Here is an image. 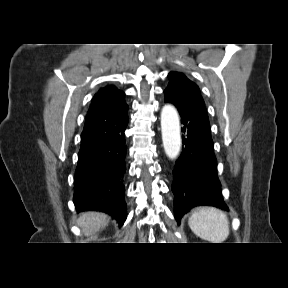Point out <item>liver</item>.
Returning <instances> with one entry per match:
<instances>
[{
  "label": "liver",
  "instance_id": "6515ba94",
  "mask_svg": "<svg viewBox=\"0 0 288 288\" xmlns=\"http://www.w3.org/2000/svg\"><path fill=\"white\" fill-rule=\"evenodd\" d=\"M107 215L95 211L84 212L78 219V225L81 227L85 236H91L106 226Z\"/></svg>",
  "mask_w": 288,
  "mask_h": 288
}]
</instances>
